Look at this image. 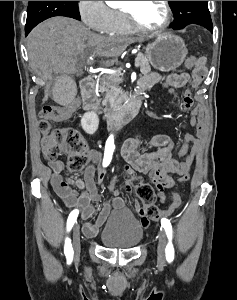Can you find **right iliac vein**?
<instances>
[{
  "mask_svg": "<svg viewBox=\"0 0 237 300\" xmlns=\"http://www.w3.org/2000/svg\"><path fill=\"white\" fill-rule=\"evenodd\" d=\"M80 247H81V243H80L79 226L75 225L73 230V248H74L75 255H79Z\"/></svg>",
  "mask_w": 237,
  "mask_h": 300,
  "instance_id": "obj_1",
  "label": "right iliac vein"
}]
</instances>
